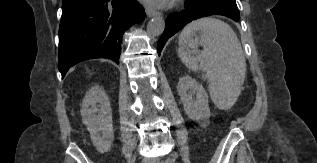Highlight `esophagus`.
Returning a JSON list of instances; mask_svg holds the SVG:
<instances>
[{"mask_svg":"<svg viewBox=\"0 0 317 163\" xmlns=\"http://www.w3.org/2000/svg\"><path fill=\"white\" fill-rule=\"evenodd\" d=\"M159 13L151 8H146V15L148 17L157 16Z\"/></svg>","mask_w":317,"mask_h":163,"instance_id":"esophagus-1","label":"esophagus"}]
</instances>
